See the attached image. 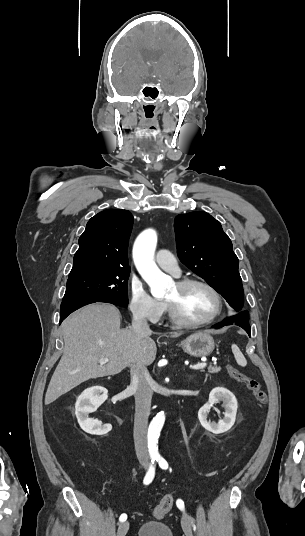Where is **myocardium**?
<instances>
[{
    "label": "myocardium",
    "instance_id": "obj_1",
    "mask_svg": "<svg viewBox=\"0 0 305 536\" xmlns=\"http://www.w3.org/2000/svg\"><path fill=\"white\" fill-rule=\"evenodd\" d=\"M176 285L180 289H188V288H190L192 286H195V285H201V286L207 287L208 289H210L217 296V298L219 300V304H220L219 310L212 317H210L209 319L204 320V321L194 322V321L187 320L177 307H175L170 302L165 301L171 318L177 324H179V325H181L183 327H187V328H203V327H207V326L213 324L214 322L219 320L224 315V313L226 311V307H227L226 299H225L224 295L222 294V292L216 286H214L212 283H210V282H208V281H206V280H204L202 278H184V279L178 280Z\"/></svg>",
    "mask_w": 305,
    "mask_h": 536
}]
</instances>
